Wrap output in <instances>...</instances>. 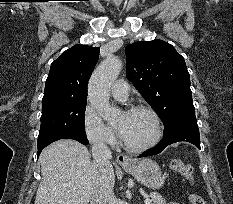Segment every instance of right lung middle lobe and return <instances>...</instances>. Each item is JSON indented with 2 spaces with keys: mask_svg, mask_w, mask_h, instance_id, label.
<instances>
[{
  "mask_svg": "<svg viewBox=\"0 0 233 204\" xmlns=\"http://www.w3.org/2000/svg\"><path fill=\"white\" fill-rule=\"evenodd\" d=\"M87 99L42 102L37 147L69 137L86 138L84 114Z\"/></svg>",
  "mask_w": 233,
  "mask_h": 204,
  "instance_id": "1",
  "label": "right lung middle lobe"
}]
</instances>
